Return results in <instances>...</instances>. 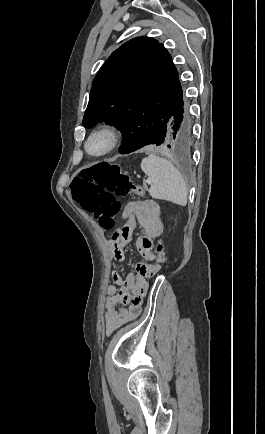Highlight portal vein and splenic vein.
I'll list each match as a JSON object with an SVG mask.
<instances>
[{"label": "portal vein and splenic vein", "mask_w": 265, "mask_h": 434, "mask_svg": "<svg viewBox=\"0 0 265 434\" xmlns=\"http://www.w3.org/2000/svg\"><path fill=\"white\" fill-rule=\"evenodd\" d=\"M144 182H146V184H151L150 180H144Z\"/></svg>", "instance_id": "portal-vein-and-splenic-vein-1"}]
</instances>
